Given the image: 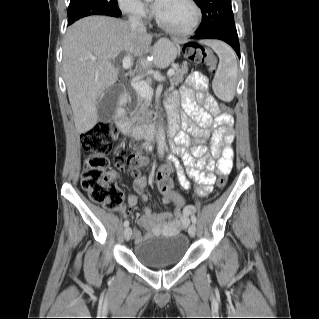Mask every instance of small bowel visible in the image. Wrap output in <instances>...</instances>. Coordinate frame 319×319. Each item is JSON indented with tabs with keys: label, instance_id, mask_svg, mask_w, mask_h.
Here are the masks:
<instances>
[{
	"label": "small bowel",
	"instance_id": "c3829d8e",
	"mask_svg": "<svg viewBox=\"0 0 319 319\" xmlns=\"http://www.w3.org/2000/svg\"><path fill=\"white\" fill-rule=\"evenodd\" d=\"M185 114L180 116L178 112V97H172L167 105L169 116L175 117L181 124L182 130L174 138L171 146L172 153L168 156V163L158 174L155 183L159 186V178L169 179L172 168L180 186L188 190L191 188L189 177L196 185L194 191L198 197H203L212 191L217 175H227L232 169L234 117L230 113L210 112V105L215 102L206 84V79L198 72L189 75L188 80L180 87ZM214 116V117H212ZM210 140V147L205 143ZM210 152L214 160L206 161V155ZM187 165V173L182 168L181 159ZM216 170V174L213 171ZM111 175L119 179L117 173ZM147 180L137 179L132 190L142 201H147ZM163 201L175 206V219H170L166 213H157L146 207L143 215L138 219V225L143 227L148 234H175L184 230L189 222L190 215L195 211L193 205H184L182 196L171 190H161ZM136 194H130L127 198L129 209L136 206L138 198ZM136 243L142 241V236L137 229H133Z\"/></svg>",
	"mask_w": 319,
	"mask_h": 319
}]
</instances>
